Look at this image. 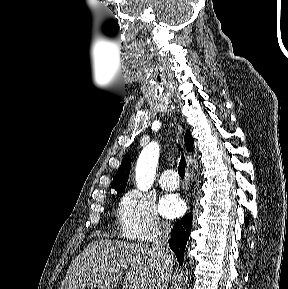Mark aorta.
<instances>
[{
  "instance_id": "1",
  "label": "aorta",
  "mask_w": 288,
  "mask_h": 289,
  "mask_svg": "<svg viewBox=\"0 0 288 289\" xmlns=\"http://www.w3.org/2000/svg\"><path fill=\"white\" fill-rule=\"evenodd\" d=\"M159 146L152 142L146 146L137 161L136 183L142 191H147L153 184L159 159Z\"/></svg>"
}]
</instances>
